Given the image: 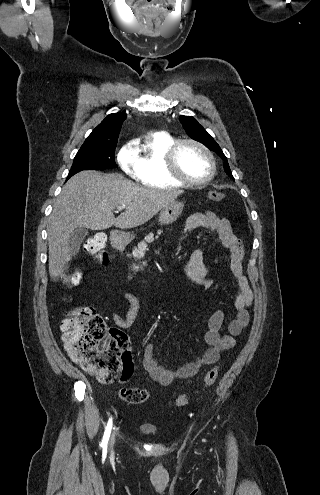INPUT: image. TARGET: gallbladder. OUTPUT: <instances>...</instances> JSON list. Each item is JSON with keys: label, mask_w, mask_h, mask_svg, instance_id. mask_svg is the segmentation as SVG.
Here are the masks:
<instances>
[{"label": "gallbladder", "mask_w": 320, "mask_h": 495, "mask_svg": "<svg viewBox=\"0 0 320 495\" xmlns=\"http://www.w3.org/2000/svg\"><path fill=\"white\" fill-rule=\"evenodd\" d=\"M87 235H88V230L86 228H76L73 230L71 237L69 238L68 241L72 255L78 253L79 247Z\"/></svg>", "instance_id": "obj_1"}]
</instances>
